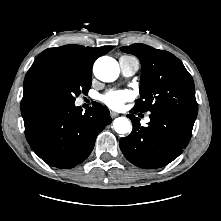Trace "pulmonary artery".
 Returning a JSON list of instances; mask_svg holds the SVG:
<instances>
[{
  "label": "pulmonary artery",
  "mask_w": 221,
  "mask_h": 221,
  "mask_svg": "<svg viewBox=\"0 0 221 221\" xmlns=\"http://www.w3.org/2000/svg\"><path fill=\"white\" fill-rule=\"evenodd\" d=\"M119 66L122 75L129 77L134 75L138 71L139 61L131 56H121L119 58Z\"/></svg>",
  "instance_id": "pulmonary-artery-1"
}]
</instances>
